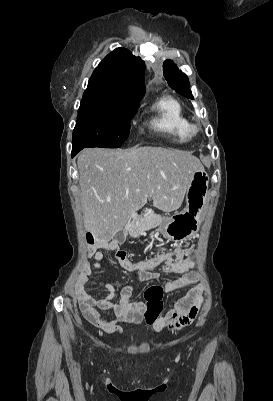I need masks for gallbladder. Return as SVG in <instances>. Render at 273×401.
<instances>
[{"mask_svg": "<svg viewBox=\"0 0 273 401\" xmlns=\"http://www.w3.org/2000/svg\"><path fill=\"white\" fill-rule=\"evenodd\" d=\"M124 232H125V229L120 228L119 233H117V235H116V239H117V241H119V243H124V241H125Z\"/></svg>", "mask_w": 273, "mask_h": 401, "instance_id": "bac80fb5", "label": "gallbladder"}]
</instances>
